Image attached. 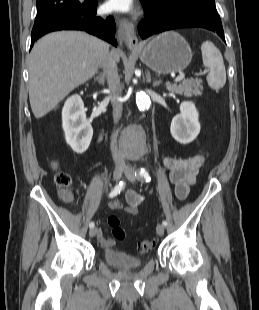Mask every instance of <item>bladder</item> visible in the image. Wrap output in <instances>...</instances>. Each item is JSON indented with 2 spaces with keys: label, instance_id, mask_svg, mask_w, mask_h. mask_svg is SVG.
Listing matches in <instances>:
<instances>
[{
  "label": "bladder",
  "instance_id": "1",
  "mask_svg": "<svg viewBox=\"0 0 259 310\" xmlns=\"http://www.w3.org/2000/svg\"><path fill=\"white\" fill-rule=\"evenodd\" d=\"M103 260L109 266L122 270L139 268L143 263L141 259L116 248L105 249Z\"/></svg>",
  "mask_w": 259,
  "mask_h": 310
}]
</instances>
